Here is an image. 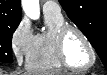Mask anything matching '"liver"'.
<instances>
[{"mask_svg":"<svg viewBox=\"0 0 107 75\" xmlns=\"http://www.w3.org/2000/svg\"><path fill=\"white\" fill-rule=\"evenodd\" d=\"M12 75H29V73H24V74H12Z\"/></svg>","mask_w":107,"mask_h":75,"instance_id":"obj_1","label":"liver"}]
</instances>
